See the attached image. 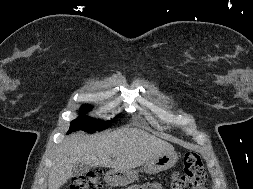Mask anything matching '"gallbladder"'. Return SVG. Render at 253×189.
<instances>
[{
    "mask_svg": "<svg viewBox=\"0 0 253 189\" xmlns=\"http://www.w3.org/2000/svg\"><path fill=\"white\" fill-rule=\"evenodd\" d=\"M90 170V166L84 163H77L73 165L72 175L80 176Z\"/></svg>",
    "mask_w": 253,
    "mask_h": 189,
    "instance_id": "gallbladder-1",
    "label": "gallbladder"
}]
</instances>
